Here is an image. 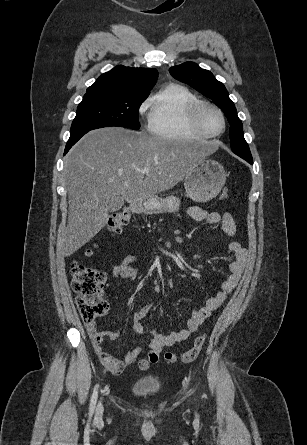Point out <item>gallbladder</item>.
<instances>
[{
	"label": "gallbladder",
	"instance_id": "gallbladder-1",
	"mask_svg": "<svg viewBox=\"0 0 307 445\" xmlns=\"http://www.w3.org/2000/svg\"><path fill=\"white\" fill-rule=\"evenodd\" d=\"M112 201L113 203L109 205V213L118 211L124 204V200L120 195L113 196Z\"/></svg>",
	"mask_w": 307,
	"mask_h": 445
}]
</instances>
